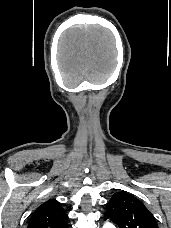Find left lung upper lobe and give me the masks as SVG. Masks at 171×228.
Wrapping results in <instances>:
<instances>
[{"instance_id": "1", "label": "left lung upper lobe", "mask_w": 171, "mask_h": 228, "mask_svg": "<svg viewBox=\"0 0 171 228\" xmlns=\"http://www.w3.org/2000/svg\"><path fill=\"white\" fill-rule=\"evenodd\" d=\"M104 218L120 228H158L153 214L139 199L125 191L112 196Z\"/></svg>"}]
</instances>
